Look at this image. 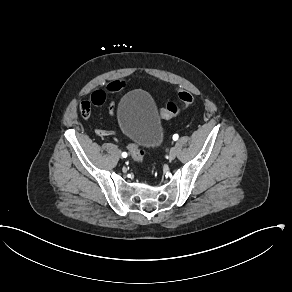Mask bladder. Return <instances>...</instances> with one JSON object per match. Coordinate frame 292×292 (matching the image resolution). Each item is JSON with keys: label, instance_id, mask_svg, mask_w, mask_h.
I'll use <instances>...</instances> for the list:
<instances>
[{"label": "bladder", "instance_id": "bladder-1", "mask_svg": "<svg viewBox=\"0 0 292 292\" xmlns=\"http://www.w3.org/2000/svg\"><path fill=\"white\" fill-rule=\"evenodd\" d=\"M117 122L123 134L139 147L154 148L162 141L157 107L151 95L142 89L132 90L122 98Z\"/></svg>", "mask_w": 292, "mask_h": 292}]
</instances>
